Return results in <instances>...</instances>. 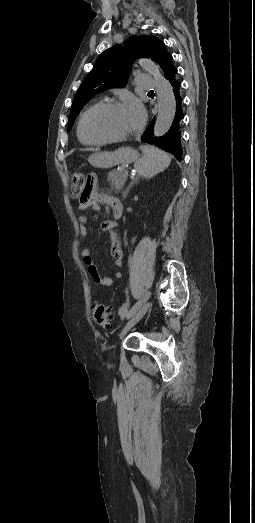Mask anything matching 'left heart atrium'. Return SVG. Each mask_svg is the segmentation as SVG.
<instances>
[{"instance_id": "39dd6f15", "label": "left heart atrium", "mask_w": 255, "mask_h": 523, "mask_svg": "<svg viewBox=\"0 0 255 523\" xmlns=\"http://www.w3.org/2000/svg\"><path fill=\"white\" fill-rule=\"evenodd\" d=\"M130 106L132 107L134 114L136 116L137 124L140 126L144 120H145V110L143 106L136 100H133L130 102Z\"/></svg>"}]
</instances>
